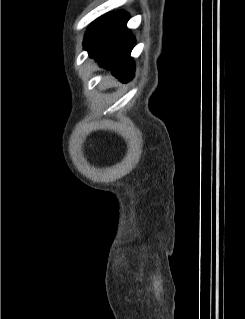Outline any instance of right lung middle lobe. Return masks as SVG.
I'll return each mask as SVG.
<instances>
[{
    "instance_id": "right-lung-middle-lobe-1",
    "label": "right lung middle lobe",
    "mask_w": 245,
    "mask_h": 319,
    "mask_svg": "<svg viewBox=\"0 0 245 319\" xmlns=\"http://www.w3.org/2000/svg\"><path fill=\"white\" fill-rule=\"evenodd\" d=\"M110 16H111V15L108 14V15H104V16L100 17L99 19H97V20L91 25V27H93V26L99 24L100 22H102L103 20L107 19V18L110 17Z\"/></svg>"
}]
</instances>
